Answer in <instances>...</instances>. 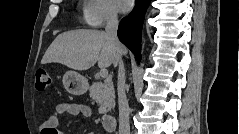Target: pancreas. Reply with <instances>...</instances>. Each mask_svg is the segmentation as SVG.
Wrapping results in <instances>:
<instances>
[{
    "label": "pancreas",
    "mask_w": 239,
    "mask_h": 134,
    "mask_svg": "<svg viewBox=\"0 0 239 134\" xmlns=\"http://www.w3.org/2000/svg\"><path fill=\"white\" fill-rule=\"evenodd\" d=\"M89 92L90 97L99 105L98 112L100 114L107 113L114 106L115 91L112 82H94Z\"/></svg>",
    "instance_id": "obj_1"
}]
</instances>
